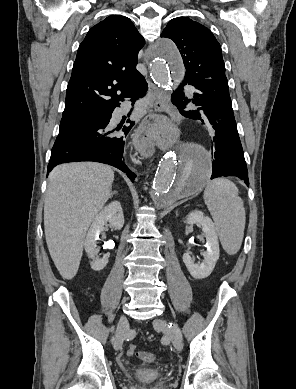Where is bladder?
Returning a JSON list of instances; mask_svg holds the SVG:
<instances>
[{
	"label": "bladder",
	"mask_w": 296,
	"mask_h": 389,
	"mask_svg": "<svg viewBox=\"0 0 296 389\" xmlns=\"http://www.w3.org/2000/svg\"><path fill=\"white\" fill-rule=\"evenodd\" d=\"M133 375L135 378L141 381L151 382L160 378L162 376V373L157 369L140 368V369H136L133 372Z\"/></svg>",
	"instance_id": "bladder-1"
}]
</instances>
